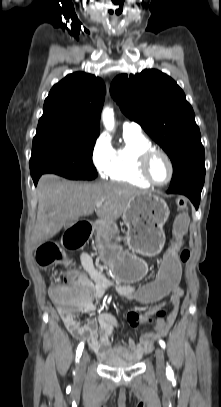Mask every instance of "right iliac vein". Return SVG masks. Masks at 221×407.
<instances>
[{
  "label": "right iliac vein",
  "mask_w": 221,
  "mask_h": 407,
  "mask_svg": "<svg viewBox=\"0 0 221 407\" xmlns=\"http://www.w3.org/2000/svg\"><path fill=\"white\" fill-rule=\"evenodd\" d=\"M88 360H89L88 353L86 351H84L82 356H81V359H80V362H79V367H78V370H79L80 374L84 373V371L86 369V365L88 363Z\"/></svg>",
  "instance_id": "1"
}]
</instances>
